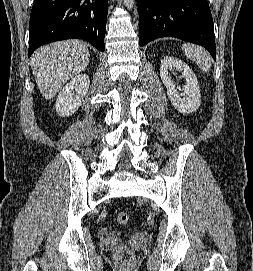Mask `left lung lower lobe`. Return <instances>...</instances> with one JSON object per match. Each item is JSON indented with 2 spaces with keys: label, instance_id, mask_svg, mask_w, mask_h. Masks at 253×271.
<instances>
[{
  "label": "left lung lower lobe",
  "instance_id": "1",
  "mask_svg": "<svg viewBox=\"0 0 253 271\" xmlns=\"http://www.w3.org/2000/svg\"><path fill=\"white\" fill-rule=\"evenodd\" d=\"M145 46L159 37H175L205 47L216 61L213 19L207 0H137Z\"/></svg>",
  "mask_w": 253,
  "mask_h": 271
}]
</instances>
